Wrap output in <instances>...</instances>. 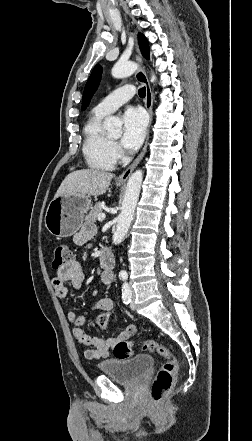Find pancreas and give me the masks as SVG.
<instances>
[{
	"mask_svg": "<svg viewBox=\"0 0 252 441\" xmlns=\"http://www.w3.org/2000/svg\"><path fill=\"white\" fill-rule=\"evenodd\" d=\"M100 213H102V207L100 203H97L86 216V220L96 222L97 217Z\"/></svg>",
	"mask_w": 252,
	"mask_h": 441,
	"instance_id": "obj_1",
	"label": "pancreas"
}]
</instances>
